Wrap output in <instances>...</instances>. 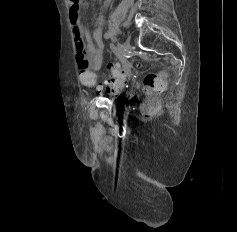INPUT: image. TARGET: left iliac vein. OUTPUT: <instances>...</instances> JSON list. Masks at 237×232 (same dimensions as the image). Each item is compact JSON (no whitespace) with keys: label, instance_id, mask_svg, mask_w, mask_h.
<instances>
[{"label":"left iliac vein","instance_id":"left-iliac-vein-1","mask_svg":"<svg viewBox=\"0 0 237 232\" xmlns=\"http://www.w3.org/2000/svg\"><path fill=\"white\" fill-rule=\"evenodd\" d=\"M122 49L124 52H130L131 51V44L129 42H124L122 44Z\"/></svg>","mask_w":237,"mask_h":232}]
</instances>
